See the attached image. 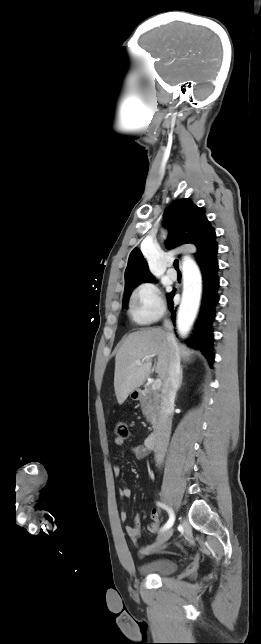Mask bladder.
<instances>
[{
    "instance_id": "obj_1",
    "label": "bladder",
    "mask_w": 261,
    "mask_h": 644,
    "mask_svg": "<svg viewBox=\"0 0 261 644\" xmlns=\"http://www.w3.org/2000/svg\"><path fill=\"white\" fill-rule=\"evenodd\" d=\"M176 569V562L169 558H157L143 563L138 567L139 572L144 575H168L173 573Z\"/></svg>"
}]
</instances>
